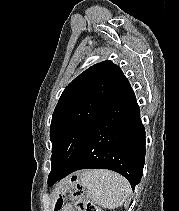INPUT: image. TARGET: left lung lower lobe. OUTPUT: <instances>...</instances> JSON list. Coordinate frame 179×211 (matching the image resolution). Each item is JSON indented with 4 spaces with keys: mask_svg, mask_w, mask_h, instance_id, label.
<instances>
[{
    "mask_svg": "<svg viewBox=\"0 0 179 211\" xmlns=\"http://www.w3.org/2000/svg\"><path fill=\"white\" fill-rule=\"evenodd\" d=\"M145 162V129L129 82L108 105L91 129L82 149L67 169L48 186L81 169H109L123 175L134 191Z\"/></svg>",
    "mask_w": 179,
    "mask_h": 211,
    "instance_id": "obj_1",
    "label": "left lung lower lobe"
}]
</instances>
